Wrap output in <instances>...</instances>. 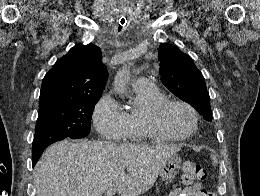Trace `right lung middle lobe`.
Wrapping results in <instances>:
<instances>
[{
	"label": "right lung middle lobe",
	"instance_id": "dd1d6c3e",
	"mask_svg": "<svg viewBox=\"0 0 260 196\" xmlns=\"http://www.w3.org/2000/svg\"><path fill=\"white\" fill-rule=\"evenodd\" d=\"M100 96H82L39 106L32 151L51 143L88 136L95 104Z\"/></svg>",
	"mask_w": 260,
	"mask_h": 196
}]
</instances>
